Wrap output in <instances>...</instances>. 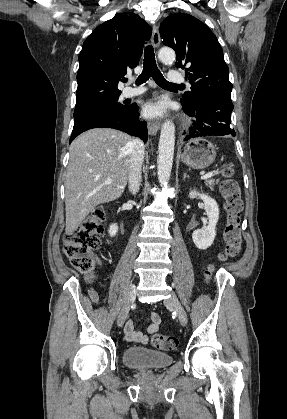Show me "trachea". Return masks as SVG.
Segmentation results:
<instances>
[{
    "label": "trachea",
    "mask_w": 287,
    "mask_h": 419,
    "mask_svg": "<svg viewBox=\"0 0 287 419\" xmlns=\"http://www.w3.org/2000/svg\"><path fill=\"white\" fill-rule=\"evenodd\" d=\"M150 77L154 79V81L162 87H174V86H182L177 84L169 83L162 75L160 70L156 65L154 49L152 46H147L144 52V65L143 71L141 75L137 78L136 84L140 85L145 83ZM127 79L124 80L126 82Z\"/></svg>",
    "instance_id": "3493384b"
}]
</instances>
